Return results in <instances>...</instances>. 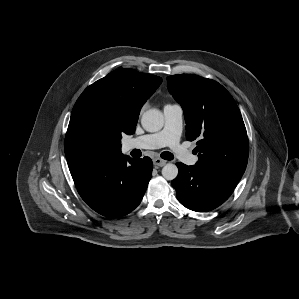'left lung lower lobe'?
Masks as SVG:
<instances>
[{
	"instance_id": "obj_1",
	"label": "left lung lower lobe",
	"mask_w": 299,
	"mask_h": 299,
	"mask_svg": "<svg viewBox=\"0 0 299 299\" xmlns=\"http://www.w3.org/2000/svg\"><path fill=\"white\" fill-rule=\"evenodd\" d=\"M176 165L179 173L172 181V186L179 202L193 211L206 212L215 209L228 199L238 184L194 165Z\"/></svg>"
}]
</instances>
